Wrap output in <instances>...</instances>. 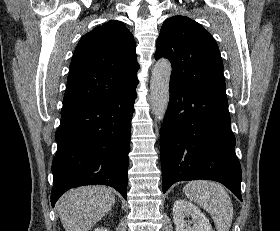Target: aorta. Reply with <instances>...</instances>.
<instances>
[{
    "instance_id": "aorta-1",
    "label": "aorta",
    "mask_w": 280,
    "mask_h": 231,
    "mask_svg": "<svg viewBox=\"0 0 280 231\" xmlns=\"http://www.w3.org/2000/svg\"><path fill=\"white\" fill-rule=\"evenodd\" d=\"M172 68L169 60L156 62L150 82V104L157 121L164 119L169 102V82Z\"/></svg>"
}]
</instances>
